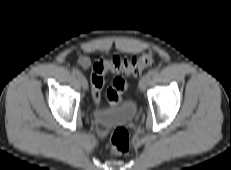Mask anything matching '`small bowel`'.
Segmentation results:
<instances>
[{
    "label": "small bowel",
    "instance_id": "small-bowel-1",
    "mask_svg": "<svg viewBox=\"0 0 231 170\" xmlns=\"http://www.w3.org/2000/svg\"><path fill=\"white\" fill-rule=\"evenodd\" d=\"M76 63L80 68L86 70L90 67L91 61L87 56L81 55L77 58Z\"/></svg>",
    "mask_w": 231,
    "mask_h": 170
}]
</instances>
